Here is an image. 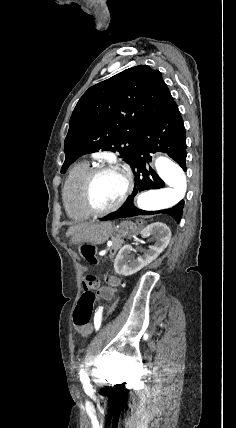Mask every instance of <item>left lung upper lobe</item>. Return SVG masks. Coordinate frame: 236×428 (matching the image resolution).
<instances>
[{
    "mask_svg": "<svg viewBox=\"0 0 236 428\" xmlns=\"http://www.w3.org/2000/svg\"><path fill=\"white\" fill-rule=\"evenodd\" d=\"M172 102L161 73L147 65L126 69L90 87L71 115L61 172L81 155L99 150L118 151L132 165L141 131Z\"/></svg>",
    "mask_w": 236,
    "mask_h": 428,
    "instance_id": "5c2ea615",
    "label": "left lung upper lobe"
}]
</instances>
